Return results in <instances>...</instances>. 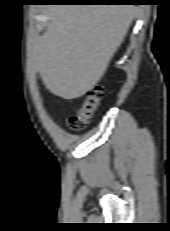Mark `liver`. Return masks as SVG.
Listing matches in <instances>:
<instances>
[{"label": "liver", "mask_w": 170, "mask_h": 231, "mask_svg": "<svg viewBox=\"0 0 170 231\" xmlns=\"http://www.w3.org/2000/svg\"><path fill=\"white\" fill-rule=\"evenodd\" d=\"M51 21L33 46L32 61L46 88L71 100L103 76L138 8L133 5H53Z\"/></svg>", "instance_id": "obj_1"}]
</instances>
